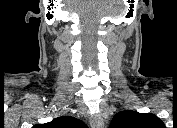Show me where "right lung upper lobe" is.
Here are the masks:
<instances>
[{
    "label": "right lung upper lobe",
    "instance_id": "right-lung-upper-lobe-1",
    "mask_svg": "<svg viewBox=\"0 0 177 128\" xmlns=\"http://www.w3.org/2000/svg\"><path fill=\"white\" fill-rule=\"evenodd\" d=\"M44 126L49 128H85L87 127L84 122L81 120L71 117V116H62L53 119L51 122H48Z\"/></svg>",
    "mask_w": 177,
    "mask_h": 128
}]
</instances>
